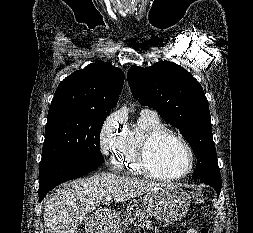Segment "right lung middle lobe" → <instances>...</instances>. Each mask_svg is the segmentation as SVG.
<instances>
[{"label":"right lung middle lobe","mask_w":253,"mask_h":233,"mask_svg":"<svg viewBox=\"0 0 253 233\" xmlns=\"http://www.w3.org/2000/svg\"><path fill=\"white\" fill-rule=\"evenodd\" d=\"M109 112L50 107L40 166L53 160L104 161L100 131Z\"/></svg>","instance_id":"right-lung-middle-lobe-1"}]
</instances>
